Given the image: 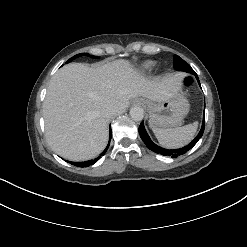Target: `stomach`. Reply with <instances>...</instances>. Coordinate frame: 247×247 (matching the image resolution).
<instances>
[{"label":"stomach","instance_id":"stomach-1","mask_svg":"<svg viewBox=\"0 0 247 247\" xmlns=\"http://www.w3.org/2000/svg\"><path fill=\"white\" fill-rule=\"evenodd\" d=\"M149 113V125L153 128H170L182 123L188 114L190 104L185 95L176 91L162 101L139 99Z\"/></svg>","mask_w":247,"mask_h":247}]
</instances>
